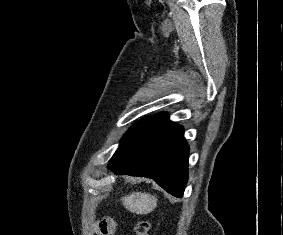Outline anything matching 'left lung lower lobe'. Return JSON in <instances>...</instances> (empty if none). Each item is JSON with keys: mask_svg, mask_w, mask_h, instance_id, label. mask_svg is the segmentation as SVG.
Listing matches in <instances>:
<instances>
[{"mask_svg": "<svg viewBox=\"0 0 283 235\" xmlns=\"http://www.w3.org/2000/svg\"><path fill=\"white\" fill-rule=\"evenodd\" d=\"M189 148L183 127L167 113L157 114L119 146L108 165L116 174L154 179L175 197H182L188 179Z\"/></svg>", "mask_w": 283, "mask_h": 235, "instance_id": "0a47b994", "label": "left lung lower lobe"}]
</instances>
